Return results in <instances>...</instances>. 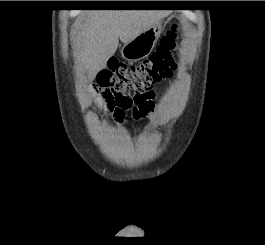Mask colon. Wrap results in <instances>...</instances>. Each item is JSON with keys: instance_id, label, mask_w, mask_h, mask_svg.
Masks as SVG:
<instances>
[{"instance_id": "1", "label": "colon", "mask_w": 265, "mask_h": 245, "mask_svg": "<svg viewBox=\"0 0 265 245\" xmlns=\"http://www.w3.org/2000/svg\"><path fill=\"white\" fill-rule=\"evenodd\" d=\"M177 24L162 37L157 50L138 64L111 61L97 76L101 109L118 119L127 112L143 114L153 104L152 88L177 69Z\"/></svg>"}]
</instances>
